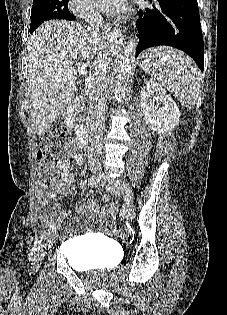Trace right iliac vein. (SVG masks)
<instances>
[{"label":"right iliac vein","instance_id":"right-iliac-vein-1","mask_svg":"<svg viewBox=\"0 0 227 315\" xmlns=\"http://www.w3.org/2000/svg\"><path fill=\"white\" fill-rule=\"evenodd\" d=\"M57 236V233H54L43 245V249H40L34 257V267L37 268L40 266L44 259V249H46L50 244H52Z\"/></svg>","mask_w":227,"mask_h":315}]
</instances>
